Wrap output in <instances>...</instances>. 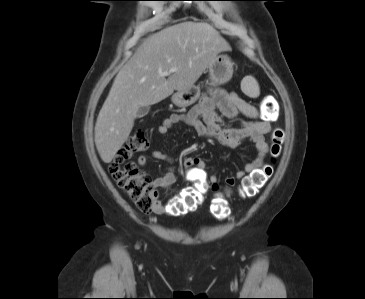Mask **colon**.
Listing matches in <instances>:
<instances>
[{
	"label": "colon",
	"mask_w": 365,
	"mask_h": 299,
	"mask_svg": "<svg viewBox=\"0 0 365 299\" xmlns=\"http://www.w3.org/2000/svg\"><path fill=\"white\" fill-rule=\"evenodd\" d=\"M274 114L275 109L270 102L265 103L261 108V115L265 119L271 120ZM282 143L283 132L277 130L272 135L268 163L262 169L254 171L243 179L238 191L241 198L255 196L271 177L276 160L281 153ZM148 147L149 141L144 130H135L124 146L118 150L109 167V173L117 186L127 194L129 199L141 211L146 213L151 212L155 207L157 201L156 190L149 178L141 173L137 165L129 161V158L135 153L146 151ZM207 190L208 187L204 182H197L185 188L168 203L169 213L180 215L194 211L202 204ZM210 212L218 219H223L228 215L229 209L224 194L219 193L215 196Z\"/></svg>",
	"instance_id": "1"
}]
</instances>
